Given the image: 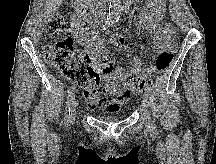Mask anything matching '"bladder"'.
I'll return each mask as SVG.
<instances>
[{"label":"bladder","instance_id":"1","mask_svg":"<svg viewBox=\"0 0 216 164\" xmlns=\"http://www.w3.org/2000/svg\"><path fill=\"white\" fill-rule=\"evenodd\" d=\"M103 119H105V120H109V121L116 120V118H115V117H104Z\"/></svg>","mask_w":216,"mask_h":164}]
</instances>
